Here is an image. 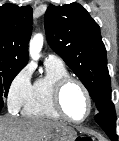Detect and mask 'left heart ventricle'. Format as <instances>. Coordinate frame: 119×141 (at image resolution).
I'll return each mask as SVG.
<instances>
[{
    "label": "left heart ventricle",
    "mask_w": 119,
    "mask_h": 141,
    "mask_svg": "<svg viewBox=\"0 0 119 141\" xmlns=\"http://www.w3.org/2000/svg\"><path fill=\"white\" fill-rule=\"evenodd\" d=\"M62 105L66 114L76 120L82 119L87 112V100L77 84L68 85L62 96Z\"/></svg>",
    "instance_id": "obj_1"
}]
</instances>
